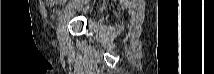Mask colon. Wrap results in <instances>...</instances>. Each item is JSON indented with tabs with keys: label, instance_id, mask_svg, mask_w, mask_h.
<instances>
[{
	"label": "colon",
	"instance_id": "1",
	"mask_svg": "<svg viewBox=\"0 0 214 74\" xmlns=\"http://www.w3.org/2000/svg\"><path fill=\"white\" fill-rule=\"evenodd\" d=\"M64 2H66V1L65 0H47L48 5H50V6H53L57 3L62 4Z\"/></svg>",
	"mask_w": 214,
	"mask_h": 74
}]
</instances>
